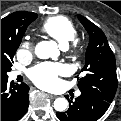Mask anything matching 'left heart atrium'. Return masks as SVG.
I'll return each mask as SVG.
<instances>
[{
  "mask_svg": "<svg viewBox=\"0 0 121 121\" xmlns=\"http://www.w3.org/2000/svg\"><path fill=\"white\" fill-rule=\"evenodd\" d=\"M64 71L59 63H42L30 72L31 80L39 87L52 88L58 82V76Z\"/></svg>",
  "mask_w": 121,
  "mask_h": 121,
  "instance_id": "obj_1",
  "label": "left heart atrium"
}]
</instances>
